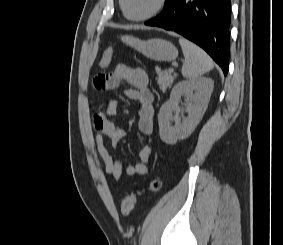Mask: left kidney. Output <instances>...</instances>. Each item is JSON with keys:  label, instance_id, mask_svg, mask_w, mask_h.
I'll return each instance as SVG.
<instances>
[{"label": "left kidney", "instance_id": "1", "mask_svg": "<svg viewBox=\"0 0 283 245\" xmlns=\"http://www.w3.org/2000/svg\"><path fill=\"white\" fill-rule=\"evenodd\" d=\"M213 87L214 81L206 77L182 81L174 86L169 101L162 105L158 115L159 135L163 142L174 145L194 131L207 109ZM182 96L186 97L188 113L183 121L172 115L178 111V102Z\"/></svg>", "mask_w": 283, "mask_h": 245}]
</instances>
